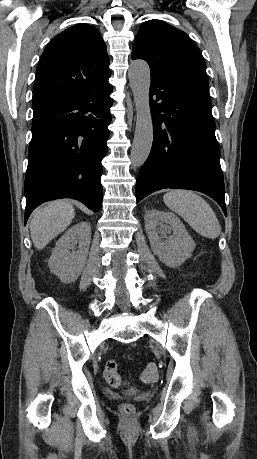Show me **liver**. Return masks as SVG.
I'll use <instances>...</instances> for the list:
<instances>
[{
    "label": "liver",
    "instance_id": "liver-1",
    "mask_svg": "<svg viewBox=\"0 0 257 459\" xmlns=\"http://www.w3.org/2000/svg\"><path fill=\"white\" fill-rule=\"evenodd\" d=\"M74 216V207L66 200L53 201L37 209L29 225L34 246L42 250L71 224Z\"/></svg>",
    "mask_w": 257,
    "mask_h": 459
}]
</instances>
